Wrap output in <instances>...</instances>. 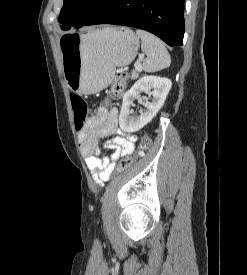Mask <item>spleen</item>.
Here are the masks:
<instances>
[{"label": "spleen", "mask_w": 247, "mask_h": 275, "mask_svg": "<svg viewBox=\"0 0 247 275\" xmlns=\"http://www.w3.org/2000/svg\"><path fill=\"white\" fill-rule=\"evenodd\" d=\"M141 39V49L147 55L143 62L145 72H156L170 66L171 58L164 43L153 34L137 29Z\"/></svg>", "instance_id": "obj_1"}]
</instances>
